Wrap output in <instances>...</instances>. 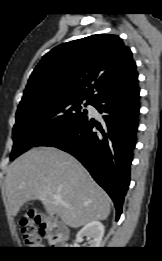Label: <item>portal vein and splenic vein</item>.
Instances as JSON below:
<instances>
[{"instance_id":"18ae733b","label":"portal vein and splenic vein","mask_w":162,"mask_h":261,"mask_svg":"<svg viewBox=\"0 0 162 261\" xmlns=\"http://www.w3.org/2000/svg\"><path fill=\"white\" fill-rule=\"evenodd\" d=\"M53 199H54L55 201H61V197H60V195H58V194H54V195H53Z\"/></svg>"}]
</instances>
